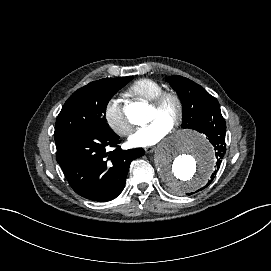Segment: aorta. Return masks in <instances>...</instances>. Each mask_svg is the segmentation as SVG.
Returning <instances> with one entry per match:
<instances>
[{
  "label": "aorta",
  "mask_w": 271,
  "mask_h": 271,
  "mask_svg": "<svg viewBox=\"0 0 271 271\" xmlns=\"http://www.w3.org/2000/svg\"><path fill=\"white\" fill-rule=\"evenodd\" d=\"M130 122L142 125L148 109L137 102L126 108ZM215 156L206 138L192 131H182L164 140L156 149L154 162L161 179L172 192L195 191L208 180L215 167Z\"/></svg>",
  "instance_id": "762f6f07"
}]
</instances>
